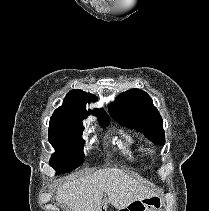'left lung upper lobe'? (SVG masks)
Returning <instances> with one entry per match:
<instances>
[{
	"label": "left lung upper lobe",
	"instance_id": "1",
	"mask_svg": "<svg viewBox=\"0 0 209 211\" xmlns=\"http://www.w3.org/2000/svg\"><path fill=\"white\" fill-rule=\"evenodd\" d=\"M110 105L111 116L124 126L137 129L157 145L165 144L163 120L150 96L140 89H131L116 98Z\"/></svg>",
	"mask_w": 209,
	"mask_h": 211
}]
</instances>
